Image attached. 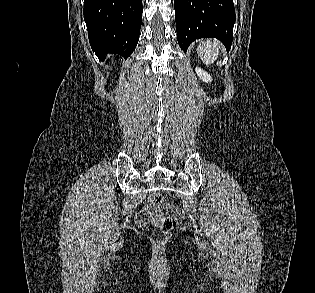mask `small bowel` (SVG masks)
Returning <instances> with one entry per match:
<instances>
[{
    "label": "small bowel",
    "instance_id": "obj_1",
    "mask_svg": "<svg viewBox=\"0 0 315 293\" xmlns=\"http://www.w3.org/2000/svg\"><path fill=\"white\" fill-rule=\"evenodd\" d=\"M160 218V214L151 210L149 207H144L137 215L136 221L139 225H147L155 223Z\"/></svg>",
    "mask_w": 315,
    "mask_h": 293
}]
</instances>
